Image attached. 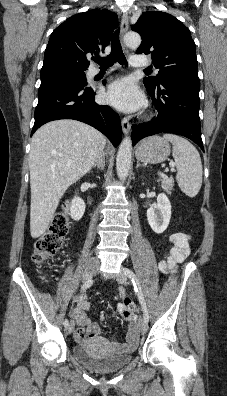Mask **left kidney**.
Masks as SVG:
<instances>
[{
	"label": "left kidney",
	"mask_w": 227,
	"mask_h": 396,
	"mask_svg": "<svg viewBox=\"0 0 227 396\" xmlns=\"http://www.w3.org/2000/svg\"><path fill=\"white\" fill-rule=\"evenodd\" d=\"M171 203L168 197L161 193L157 197V204L147 210V220L152 230L157 233H163L170 222Z\"/></svg>",
	"instance_id": "obj_1"
}]
</instances>
